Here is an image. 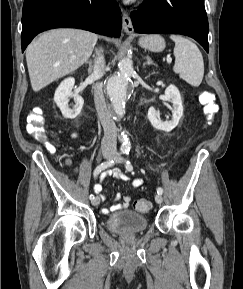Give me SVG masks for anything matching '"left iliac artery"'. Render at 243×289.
<instances>
[{
	"label": "left iliac artery",
	"instance_id": "left-iliac-artery-1",
	"mask_svg": "<svg viewBox=\"0 0 243 289\" xmlns=\"http://www.w3.org/2000/svg\"><path fill=\"white\" fill-rule=\"evenodd\" d=\"M126 154L128 155V154H129V151H126ZM126 169L129 170V171L133 170V166H132V164L130 163V161H127V162H126ZM157 193H158V194H162V193H163V189H162L161 187H158V188H157Z\"/></svg>",
	"mask_w": 243,
	"mask_h": 289
}]
</instances>
